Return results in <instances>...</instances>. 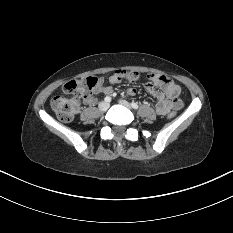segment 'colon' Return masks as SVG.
<instances>
[{
    "label": "colon",
    "mask_w": 233,
    "mask_h": 233,
    "mask_svg": "<svg viewBox=\"0 0 233 233\" xmlns=\"http://www.w3.org/2000/svg\"><path fill=\"white\" fill-rule=\"evenodd\" d=\"M121 79L137 81L142 78L138 72L119 70L116 72ZM147 80H155L156 75L145 76ZM98 84V79L88 76L80 80H71L64 84L65 93L73 94L72 97L57 95L51 101V107L61 121L69 122L78 113L80 109V98H84L93 93ZM176 113L171 112L169 118L175 117Z\"/></svg>",
    "instance_id": "1"
}]
</instances>
